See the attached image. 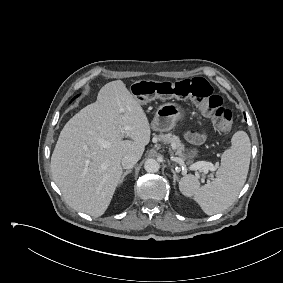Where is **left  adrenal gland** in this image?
I'll return each instance as SVG.
<instances>
[{
	"mask_svg": "<svg viewBox=\"0 0 283 283\" xmlns=\"http://www.w3.org/2000/svg\"><path fill=\"white\" fill-rule=\"evenodd\" d=\"M171 170H172V173H173V182H174V184H175L176 181L178 180V177H177L176 172H175L173 169H171Z\"/></svg>",
	"mask_w": 283,
	"mask_h": 283,
	"instance_id": "1",
	"label": "left adrenal gland"
}]
</instances>
